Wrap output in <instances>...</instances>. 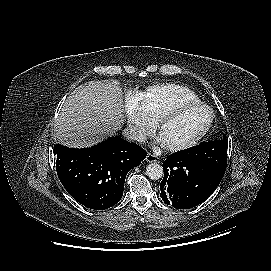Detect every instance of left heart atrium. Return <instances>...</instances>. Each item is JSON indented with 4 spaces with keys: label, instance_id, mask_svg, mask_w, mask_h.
<instances>
[{
    "label": "left heart atrium",
    "instance_id": "1",
    "mask_svg": "<svg viewBox=\"0 0 271 271\" xmlns=\"http://www.w3.org/2000/svg\"><path fill=\"white\" fill-rule=\"evenodd\" d=\"M158 141H159L161 144H164V143H163V140L161 139L160 136L158 137Z\"/></svg>",
    "mask_w": 271,
    "mask_h": 271
}]
</instances>
